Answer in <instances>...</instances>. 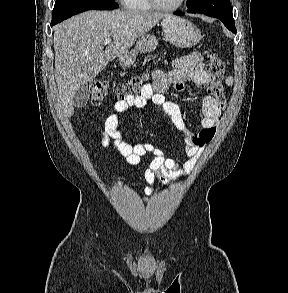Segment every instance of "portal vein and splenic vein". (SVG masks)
<instances>
[{"mask_svg":"<svg viewBox=\"0 0 288 293\" xmlns=\"http://www.w3.org/2000/svg\"><path fill=\"white\" fill-rule=\"evenodd\" d=\"M111 43V39L110 38H107V39H104L103 40V44L104 45H108V44H110Z\"/></svg>","mask_w":288,"mask_h":293,"instance_id":"portal-vein-and-splenic-vein-1","label":"portal vein and splenic vein"}]
</instances>
